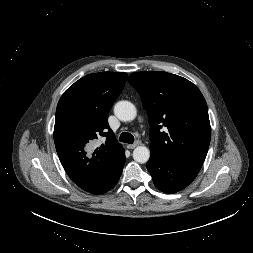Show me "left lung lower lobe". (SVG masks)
Masks as SVG:
<instances>
[{
    "mask_svg": "<svg viewBox=\"0 0 253 253\" xmlns=\"http://www.w3.org/2000/svg\"><path fill=\"white\" fill-rule=\"evenodd\" d=\"M154 185L162 192L172 194L187 187L197 176V172L177 166L151 151L146 165Z\"/></svg>",
    "mask_w": 253,
    "mask_h": 253,
    "instance_id": "obj_1",
    "label": "left lung lower lobe"
}]
</instances>
